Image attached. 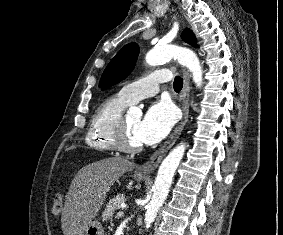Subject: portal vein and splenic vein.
<instances>
[{
    "label": "portal vein and splenic vein",
    "mask_w": 283,
    "mask_h": 235,
    "mask_svg": "<svg viewBox=\"0 0 283 235\" xmlns=\"http://www.w3.org/2000/svg\"><path fill=\"white\" fill-rule=\"evenodd\" d=\"M122 216H124V212H123V211H119V212L117 213V217L119 218V217H122Z\"/></svg>",
    "instance_id": "portal-vein-and-splenic-vein-1"
}]
</instances>
